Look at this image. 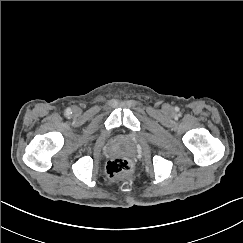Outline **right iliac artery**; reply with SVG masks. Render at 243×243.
<instances>
[{
    "instance_id": "1",
    "label": "right iliac artery",
    "mask_w": 243,
    "mask_h": 243,
    "mask_svg": "<svg viewBox=\"0 0 243 243\" xmlns=\"http://www.w3.org/2000/svg\"><path fill=\"white\" fill-rule=\"evenodd\" d=\"M71 113H72V112H71V109H70V108H67V109L65 110V115H66V116H69Z\"/></svg>"
}]
</instances>
